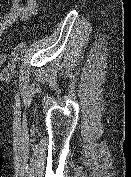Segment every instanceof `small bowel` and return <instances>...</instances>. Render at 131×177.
I'll return each instance as SVG.
<instances>
[{
  "label": "small bowel",
  "mask_w": 131,
  "mask_h": 177,
  "mask_svg": "<svg viewBox=\"0 0 131 177\" xmlns=\"http://www.w3.org/2000/svg\"><path fill=\"white\" fill-rule=\"evenodd\" d=\"M37 0H10L8 11L0 18V37L21 20H28L38 11Z\"/></svg>",
  "instance_id": "c3829d8e"
}]
</instances>
